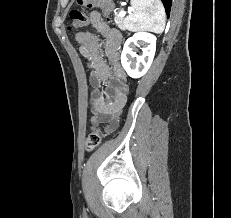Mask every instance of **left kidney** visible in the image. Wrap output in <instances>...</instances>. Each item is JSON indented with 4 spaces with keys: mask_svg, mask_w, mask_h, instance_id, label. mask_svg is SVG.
<instances>
[{
    "mask_svg": "<svg viewBox=\"0 0 231 218\" xmlns=\"http://www.w3.org/2000/svg\"><path fill=\"white\" fill-rule=\"evenodd\" d=\"M137 47L142 50L140 55L136 52ZM155 50L156 37L151 33L137 32L128 38L121 54V64L127 74L133 78L143 76L152 64Z\"/></svg>",
    "mask_w": 231,
    "mask_h": 218,
    "instance_id": "left-kidney-1",
    "label": "left kidney"
}]
</instances>
